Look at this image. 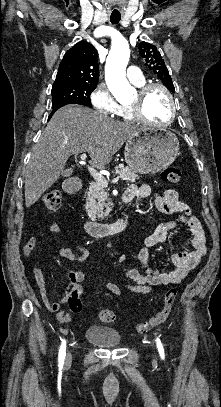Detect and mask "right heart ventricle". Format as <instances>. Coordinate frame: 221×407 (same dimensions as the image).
<instances>
[{
  "label": "right heart ventricle",
  "mask_w": 221,
  "mask_h": 407,
  "mask_svg": "<svg viewBox=\"0 0 221 407\" xmlns=\"http://www.w3.org/2000/svg\"><path fill=\"white\" fill-rule=\"evenodd\" d=\"M143 85H144V83H142V84H140V85H137V86L141 87V86H143ZM116 115H117L119 118H121V119H123V120H125V121H132V120H134V117L132 116V114H131V112H130L129 106H127V105H119V108H118V110H117V112H116Z\"/></svg>",
  "instance_id": "right-heart-ventricle-1"
}]
</instances>
